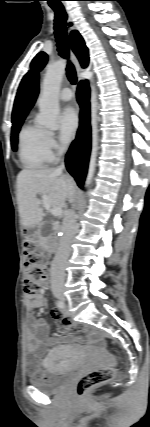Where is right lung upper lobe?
Listing matches in <instances>:
<instances>
[{
	"instance_id": "1",
	"label": "right lung upper lobe",
	"mask_w": 150,
	"mask_h": 427,
	"mask_svg": "<svg viewBox=\"0 0 150 427\" xmlns=\"http://www.w3.org/2000/svg\"><path fill=\"white\" fill-rule=\"evenodd\" d=\"M70 44L82 67H86L89 62L88 49L78 31L74 30L71 32ZM38 92V76L32 72L27 73L23 78L21 89L15 100L12 113V123L25 119L29 110L35 103Z\"/></svg>"
}]
</instances>
